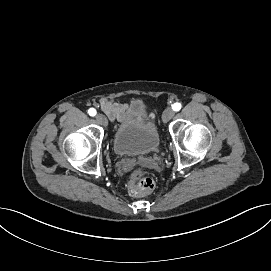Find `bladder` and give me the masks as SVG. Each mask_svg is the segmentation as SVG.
Returning <instances> with one entry per match:
<instances>
[{"label": "bladder", "mask_w": 271, "mask_h": 271, "mask_svg": "<svg viewBox=\"0 0 271 271\" xmlns=\"http://www.w3.org/2000/svg\"><path fill=\"white\" fill-rule=\"evenodd\" d=\"M140 109H134L133 118L122 122L115 130L113 150L118 156L145 155L160 147L161 138L153 121L142 124Z\"/></svg>", "instance_id": "bladder-1"}]
</instances>
